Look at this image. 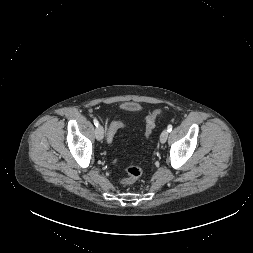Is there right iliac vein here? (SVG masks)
Masks as SVG:
<instances>
[{
    "label": "right iliac vein",
    "instance_id": "63e3f726",
    "mask_svg": "<svg viewBox=\"0 0 253 253\" xmlns=\"http://www.w3.org/2000/svg\"><path fill=\"white\" fill-rule=\"evenodd\" d=\"M96 139L101 141L104 137V129L101 125H99L95 131Z\"/></svg>",
    "mask_w": 253,
    "mask_h": 253
}]
</instances>
